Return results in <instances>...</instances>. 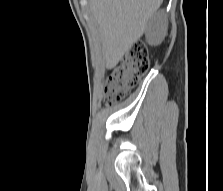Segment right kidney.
Listing matches in <instances>:
<instances>
[{
    "instance_id": "ca27d5eb",
    "label": "right kidney",
    "mask_w": 223,
    "mask_h": 191,
    "mask_svg": "<svg viewBox=\"0 0 223 191\" xmlns=\"http://www.w3.org/2000/svg\"><path fill=\"white\" fill-rule=\"evenodd\" d=\"M167 32V21L163 11L157 12V14L151 19L146 33L147 41L151 45L159 44L165 37Z\"/></svg>"
}]
</instances>
